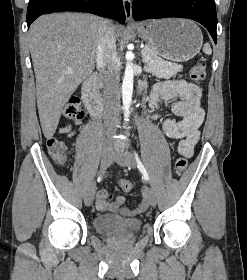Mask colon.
Returning <instances> with one entry per match:
<instances>
[{
  "label": "colon",
  "instance_id": "colon-1",
  "mask_svg": "<svg viewBox=\"0 0 247 280\" xmlns=\"http://www.w3.org/2000/svg\"><path fill=\"white\" fill-rule=\"evenodd\" d=\"M191 78L195 82H200L205 78L206 65L203 61H196L191 68ZM64 116L69 119L83 118V112L80 108V103L77 98H72L67 103L64 111ZM47 147L51 156L59 163L66 159V145L59 139L50 138L47 141ZM187 167V160L183 157L177 158L174 165V170L177 175H181ZM121 187L125 192H130L133 185L129 181H123Z\"/></svg>",
  "mask_w": 247,
  "mask_h": 280
}]
</instances>
